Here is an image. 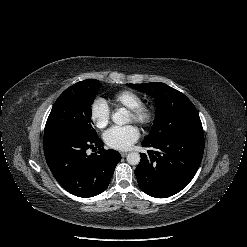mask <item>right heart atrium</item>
Masks as SVG:
<instances>
[{
    "instance_id": "right-heart-atrium-1",
    "label": "right heart atrium",
    "mask_w": 247,
    "mask_h": 247,
    "mask_svg": "<svg viewBox=\"0 0 247 247\" xmlns=\"http://www.w3.org/2000/svg\"><path fill=\"white\" fill-rule=\"evenodd\" d=\"M89 115L97 128H104L110 121L111 110L105 100L97 98L90 105Z\"/></svg>"
}]
</instances>
